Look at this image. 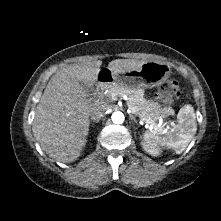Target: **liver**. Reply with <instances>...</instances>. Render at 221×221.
Returning <instances> with one entry per match:
<instances>
[{
  "label": "liver",
  "mask_w": 221,
  "mask_h": 221,
  "mask_svg": "<svg viewBox=\"0 0 221 221\" xmlns=\"http://www.w3.org/2000/svg\"><path fill=\"white\" fill-rule=\"evenodd\" d=\"M146 61L116 59L108 64L114 79ZM101 60L68 65L52 76L36 107L32 131L42 150L56 161H75L87 142L91 105L83 85L98 80Z\"/></svg>",
  "instance_id": "1"
}]
</instances>
